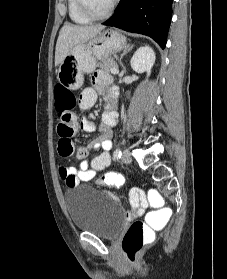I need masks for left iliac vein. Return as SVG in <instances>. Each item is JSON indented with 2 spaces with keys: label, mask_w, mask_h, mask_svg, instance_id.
<instances>
[{
  "label": "left iliac vein",
  "mask_w": 227,
  "mask_h": 279,
  "mask_svg": "<svg viewBox=\"0 0 227 279\" xmlns=\"http://www.w3.org/2000/svg\"><path fill=\"white\" fill-rule=\"evenodd\" d=\"M121 160H122V162H124L126 164H130L132 162V157H131L130 151L128 149L123 151Z\"/></svg>",
  "instance_id": "left-iliac-vein-1"
}]
</instances>
